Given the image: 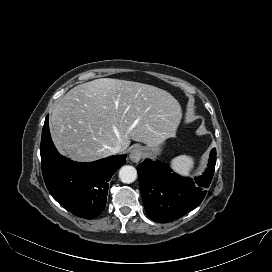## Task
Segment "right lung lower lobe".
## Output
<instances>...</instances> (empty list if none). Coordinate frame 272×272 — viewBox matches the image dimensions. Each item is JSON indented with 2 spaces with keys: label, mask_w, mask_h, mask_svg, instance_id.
I'll return each instance as SVG.
<instances>
[{
  "label": "right lung lower lobe",
  "mask_w": 272,
  "mask_h": 272,
  "mask_svg": "<svg viewBox=\"0 0 272 272\" xmlns=\"http://www.w3.org/2000/svg\"><path fill=\"white\" fill-rule=\"evenodd\" d=\"M49 116L41 138V164L45 184L51 195L76 216L93 219L106 206L108 182L124 165L126 155H115L94 162L79 163L60 155L50 136Z\"/></svg>",
  "instance_id": "right-lung-lower-lobe-1"
}]
</instances>
